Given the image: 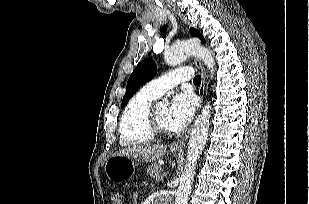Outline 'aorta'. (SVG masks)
<instances>
[{
	"label": "aorta",
	"instance_id": "aorta-1",
	"mask_svg": "<svg viewBox=\"0 0 309 204\" xmlns=\"http://www.w3.org/2000/svg\"><path fill=\"white\" fill-rule=\"evenodd\" d=\"M202 60L211 74L214 73L215 61L211 52L192 40H184L173 44L164 52V59L170 66H176L185 61L189 56ZM212 76V75H211ZM211 106L209 102L202 109L195 121L190 134L187 150V161L181 176L179 187L176 191L175 204H187L191 191L197 160L206 144L211 119Z\"/></svg>",
	"mask_w": 309,
	"mask_h": 204
}]
</instances>
